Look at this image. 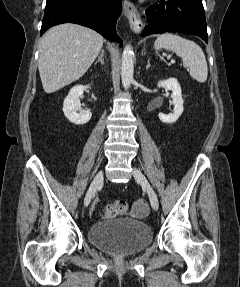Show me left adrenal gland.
<instances>
[{
	"label": "left adrenal gland",
	"instance_id": "1",
	"mask_svg": "<svg viewBox=\"0 0 240 287\" xmlns=\"http://www.w3.org/2000/svg\"><path fill=\"white\" fill-rule=\"evenodd\" d=\"M149 67H151V64H150V59H148V60H147L146 69H148Z\"/></svg>",
	"mask_w": 240,
	"mask_h": 287
}]
</instances>
